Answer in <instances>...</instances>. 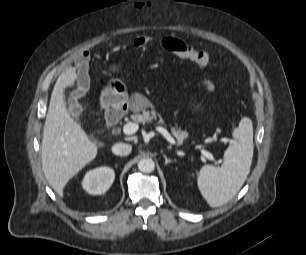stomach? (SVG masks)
Instances as JSON below:
<instances>
[{
    "label": "stomach",
    "mask_w": 306,
    "mask_h": 255,
    "mask_svg": "<svg viewBox=\"0 0 306 255\" xmlns=\"http://www.w3.org/2000/svg\"><path fill=\"white\" fill-rule=\"evenodd\" d=\"M126 85L119 79H113L104 88L100 96L101 106L106 111L121 109L128 103Z\"/></svg>",
    "instance_id": "1"
}]
</instances>
